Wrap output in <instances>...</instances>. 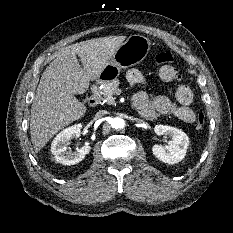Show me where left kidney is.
<instances>
[{
  "mask_svg": "<svg viewBox=\"0 0 233 233\" xmlns=\"http://www.w3.org/2000/svg\"><path fill=\"white\" fill-rule=\"evenodd\" d=\"M154 130L157 135H164L172 139L168 142V145L156 144L153 146L152 151L155 157L169 165L183 160L189 146L187 134L178 128L166 125H156Z\"/></svg>",
  "mask_w": 233,
  "mask_h": 233,
  "instance_id": "obj_1",
  "label": "left kidney"
}]
</instances>
